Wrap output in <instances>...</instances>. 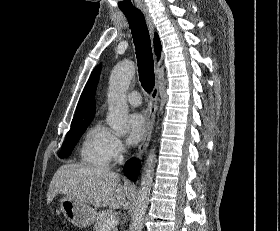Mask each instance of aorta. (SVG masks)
Wrapping results in <instances>:
<instances>
[{
  "mask_svg": "<svg viewBox=\"0 0 280 231\" xmlns=\"http://www.w3.org/2000/svg\"><path fill=\"white\" fill-rule=\"evenodd\" d=\"M136 66L134 62H123L117 64L109 78V90L107 94L108 114L106 121L110 127L115 129L117 135H123L130 129L128 119V104L126 100L129 84L135 76ZM156 155L153 149L147 155L146 165L141 177L140 189L132 211V223L129 231H142L146 209L149 203V195L153 183Z\"/></svg>",
  "mask_w": 280,
  "mask_h": 231,
  "instance_id": "762f6f07",
  "label": "aorta"
}]
</instances>
